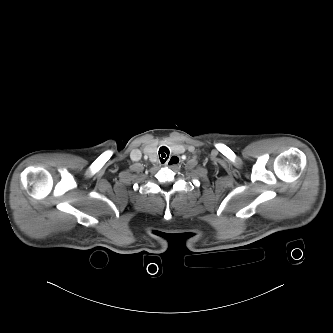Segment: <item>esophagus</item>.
<instances>
[{
	"label": "esophagus",
	"mask_w": 333,
	"mask_h": 333,
	"mask_svg": "<svg viewBox=\"0 0 333 333\" xmlns=\"http://www.w3.org/2000/svg\"><path fill=\"white\" fill-rule=\"evenodd\" d=\"M179 162V158L177 155H172L166 162H165V166L168 167H175L177 166Z\"/></svg>",
	"instance_id": "obj_1"
}]
</instances>
